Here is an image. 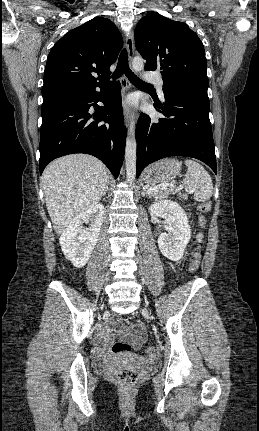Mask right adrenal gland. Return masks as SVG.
<instances>
[{"label":"right adrenal gland","mask_w":259,"mask_h":431,"mask_svg":"<svg viewBox=\"0 0 259 431\" xmlns=\"http://www.w3.org/2000/svg\"><path fill=\"white\" fill-rule=\"evenodd\" d=\"M108 185H109V182H108V184H107V186H106V189H105V192H104V194H103V196L106 194V192L108 191Z\"/></svg>","instance_id":"obj_1"}]
</instances>
